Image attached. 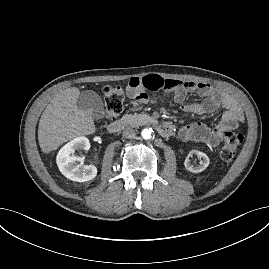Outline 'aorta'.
<instances>
[{
    "label": "aorta",
    "mask_w": 269,
    "mask_h": 269,
    "mask_svg": "<svg viewBox=\"0 0 269 269\" xmlns=\"http://www.w3.org/2000/svg\"><path fill=\"white\" fill-rule=\"evenodd\" d=\"M153 130L152 128H145L141 132V136L143 139L148 140L152 138Z\"/></svg>",
    "instance_id": "762f6f07"
}]
</instances>
